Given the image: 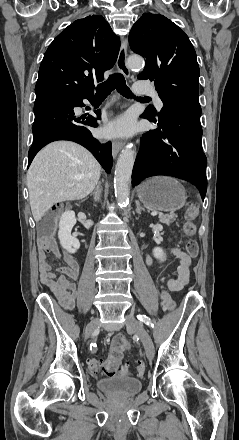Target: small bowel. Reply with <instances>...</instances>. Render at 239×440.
Returning <instances> with one entry per match:
<instances>
[{"label": "small bowel", "instance_id": "1", "mask_svg": "<svg viewBox=\"0 0 239 440\" xmlns=\"http://www.w3.org/2000/svg\"><path fill=\"white\" fill-rule=\"evenodd\" d=\"M53 253L56 258L61 254L55 243L39 246V264L42 283L47 286L58 298L59 302L66 309H72L76 302L77 285L75 281L79 277L80 267L75 258L69 253H64L62 259L64 266L58 268L61 274L57 276L48 262V254ZM172 254L179 260L177 277L173 279H162V281L172 291L182 290L189 283L191 258L179 249H171ZM148 264L152 263L150 256H147Z\"/></svg>", "mask_w": 239, "mask_h": 440}]
</instances>
